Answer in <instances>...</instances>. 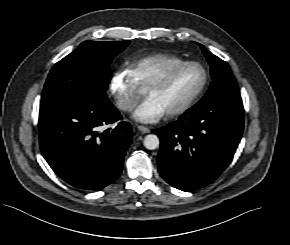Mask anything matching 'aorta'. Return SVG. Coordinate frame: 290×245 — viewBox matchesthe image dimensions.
Masks as SVG:
<instances>
[{
  "mask_svg": "<svg viewBox=\"0 0 290 245\" xmlns=\"http://www.w3.org/2000/svg\"><path fill=\"white\" fill-rule=\"evenodd\" d=\"M144 146L149 150H154L159 147V138L155 134H149L144 137Z\"/></svg>",
  "mask_w": 290,
  "mask_h": 245,
  "instance_id": "1",
  "label": "aorta"
}]
</instances>
